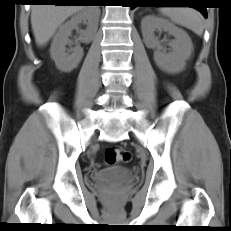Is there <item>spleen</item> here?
Returning a JSON list of instances; mask_svg holds the SVG:
<instances>
[{"mask_svg":"<svg viewBox=\"0 0 231 231\" xmlns=\"http://www.w3.org/2000/svg\"><path fill=\"white\" fill-rule=\"evenodd\" d=\"M160 12L174 23L202 35L204 24L201 14L189 7H163Z\"/></svg>","mask_w":231,"mask_h":231,"instance_id":"1","label":"spleen"}]
</instances>
